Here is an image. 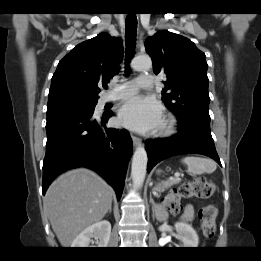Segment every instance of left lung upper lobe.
Here are the masks:
<instances>
[{"label": "left lung upper lobe", "instance_id": "1", "mask_svg": "<svg viewBox=\"0 0 261 261\" xmlns=\"http://www.w3.org/2000/svg\"><path fill=\"white\" fill-rule=\"evenodd\" d=\"M157 75L165 74L162 100L178 118L199 117L210 121L205 54L181 35L158 31L145 41Z\"/></svg>", "mask_w": 261, "mask_h": 261}]
</instances>
